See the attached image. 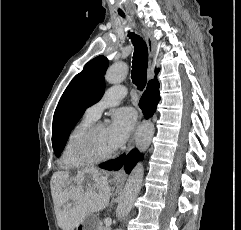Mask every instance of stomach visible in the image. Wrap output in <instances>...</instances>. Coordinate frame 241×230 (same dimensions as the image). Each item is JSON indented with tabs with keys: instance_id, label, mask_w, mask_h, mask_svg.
<instances>
[{
	"instance_id": "0dacf381",
	"label": "stomach",
	"mask_w": 241,
	"mask_h": 230,
	"mask_svg": "<svg viewBox=\"0 0 241 230\" xmlns=\"http://www.w3.org/2000/svg\"><path fill=\"white\" fill-rule=\"evenodd\" d=\"M94 176L86 174L84 176V185L88 182H93ZM98 219L94 215H88L84 221L76 227V230H97L98 227Z\"/></svg>"
}]
</instances>
